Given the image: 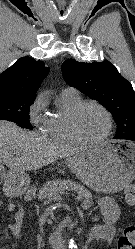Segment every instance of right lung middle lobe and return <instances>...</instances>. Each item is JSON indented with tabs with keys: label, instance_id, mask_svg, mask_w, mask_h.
I'll return each instance as SVG.
<instances>
[{
	"label": "right lung middle lobe",
	"instance_id": "1",
	"mask_svg": "<svg viewBox=\"0 0 135 249\" xmlns=\"http://www.w3.org/2000/svg\"><path fill=\"white\" fill-rule=\"evenodd\" d=\"M35 97L0 94V119L12 121L21 127L32 129L29 107Z\"/></svg>",
	"mask_w": 135,
	"mask_h": 249
}]
</instances>
